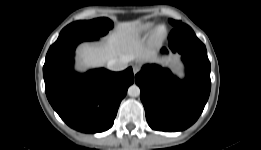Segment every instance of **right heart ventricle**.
Masks as SVG:
<instances>
[{
  "mask_svg": "<svg viewBox=\"0 0 261 150\" xmlns=\"http://www.w3.org/2000/svg\"><path fill=\"white\" fill-rule=\"evenodd\" d=\"M154 24L155 23L152 21L142 23L135 29L134 33L136 35H145L152 30V28L154 27Z\"/></svg>",
  "mask_w": 261,
  "mask_h": 150,
  "instance_id": "right-heart-ventricle-1",
  "label": "right heart ventricle"
}]
</instances>
